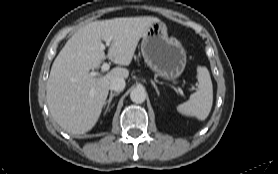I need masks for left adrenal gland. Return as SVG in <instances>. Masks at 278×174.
<instances>
[{"mask_svg":"<svg viewBox=\"0 0 278 174\" xmlns=\"http://www.w3.org/2000/svg\"><path fill=\"white\" fill-rule=\"evenodd\" d=\"M151 83H152L153 87L155 88L157 94L160 95V92H159L158 87L156 86L155 82L153 80H151Z\"/></svg>","mask_w":278,"mask_h":174,"instance_id":"a2214340","label":"left adrenal gland"}]
</instances>
